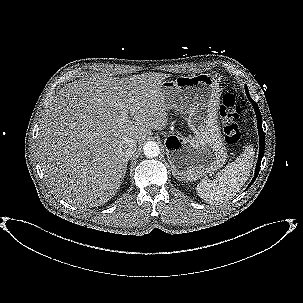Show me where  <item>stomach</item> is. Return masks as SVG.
<instances>
[{
	"label": "stomach",
	"mask_w": 303,
	"mask_h": 303,
	"mask_svg": "<svg viewBox=\"0 0 303 303\" xmlns=\"http://www.w3.org/2000/svg\"><path fill=\"white\" fill-rule=\"evenodd\" d=\"M161 92L166 108L188 114L193 137L169 136L165 143L174 177L194 181L221 168L227 159L218 122L221 89L210 74L178 76L164 80Z\"/></svg>",
	"instance_id": "obj_1"
}]
</instances>
